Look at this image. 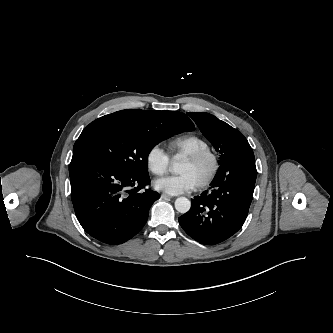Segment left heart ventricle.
Here are the masks:
<instances>
[{
  "label": "left heart ventricle",
  "mask_w": 333,
  "mask_h": 333,
  "mask_svg": "<svg viewBox=\"0 0 333 333\" xmlns=\"http://www.w3.org/2000/svg\"><path fill=\"white\" fill-rule=\"evenodd\" d=\"M209 170V163L207 161L193 164L186 160H183L178 168L179 174H187L193 178V180L198 184L207 175Z\"/></svg>",
  "instance_id": "left-heart-ventricle-1"
}]
</instances>
